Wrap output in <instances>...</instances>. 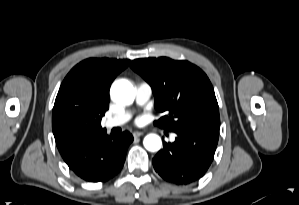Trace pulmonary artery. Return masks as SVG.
<instances>
[{"instance_id":"e3ab8cb5","label":"pulmonary artery","mask_w":299,"mask_h":205,"mask_svg":"<svg viewBox=\"0 0 299 205\" xmlns=\"http://www.w3.org/2000/svg\"><path fill=\"white\" fill-rule=\"evenodd\" d=\"M151 95H152V88L148 83L142 82L137 85L136 103L138 105H144L145 103H147L151 98ZM130 118H131V112L124 111L105 120L104 126L106 129L119 127L125 124L127 121H129Z\"/></svg>"}]
</instances>
